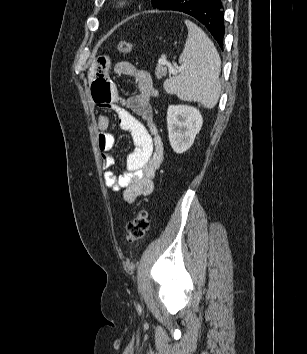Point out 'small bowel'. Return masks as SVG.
Returning <instances> with one entry per match:
<instances>
[{
	"label": "small bowel",
	"instance_id": "small-bowel-1",
	"mask_svg": "<svg viewBox=\"0 0 307 354\" xmlns=\"http://www.w3.org/2000/svg\"><path fill=\"white\" fill-rule=\"evenodd\" d=\"M110 66L109 58L100 56L89 69L92 97L97 106L110 107L119 127L130 134L135 148L128 155L122 174L116 175L111 171L115 163L111 154L115 138L109 132L110 120L106 115H100L97 120L98 146L106 186L113 191L121 190L124 200L134 203L137 198L153 192L154 180L163 160L162 140L157 132L151 106L157 90L149 72L121 61L115 65V73L132 78L138 86L134 95L122 98L117 87L107 77Z\"/></svg>",
	"mask_w": 307,
	"mask_h": 354
}]
</instances>
